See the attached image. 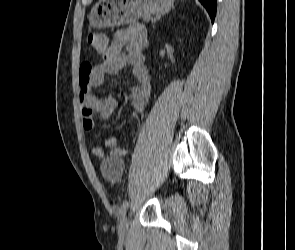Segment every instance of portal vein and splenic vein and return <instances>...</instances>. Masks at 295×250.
Masks as SVG:
<instances>
[{
    "label": "portal vein and splenic vein",
    "instance_id": "1",
    "mask_svg": "<svg viewBox=\"0 0 295 250\" xmlns=\"http://www.w3.org/2000/svg\"><path fill=\"white\" fill-rule=\"evenodd\" d=\"M152 22H156V20L154 19Z\"/></svg>",
    "mask_w": 295,
    "mask_h": 250
}]
</instances>
